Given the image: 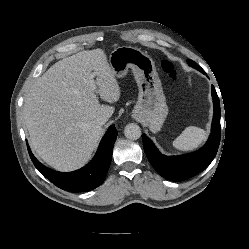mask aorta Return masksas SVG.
<instances>
[{
	"mask_svg": "<svg viewBox=\"0 0 249 249\" xmlns=\"http://www.w3.org/2000/svg\"><path fill=\"white\" fill-rule=\"evenodd\" d=\"M124 134L127 139L137 140L141 136V129L137 124L130 123L125 126Z\"/></svg>",
	"mask_w": 249,
	"mask_h": 249,
	"instance_id": "obj_1",
	"label": "aorta"
}]
</instances>
